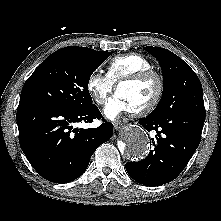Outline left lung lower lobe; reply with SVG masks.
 Masks as SVG:
<instances>
[{
	"label": "left lung lower lobe",
	"mask_w": 221,
	"mask_h": 221,
	"mask_svg": "<svg viewBox=\"0 0 221 221\" xmlns=\"http://www.w3.org/2000/svg\"><path fill=\"white\" fill-rule=\"evenodd\" d=\"M205 115L179 111L147 116L139 121L147 131L156 132L154 149L139 162H127L128 174L138 183L159 186L174 180L197 149Z\"/></svg>",
	"instance_id": "left-lung-lower-lobe-1"
}]
</instances>
